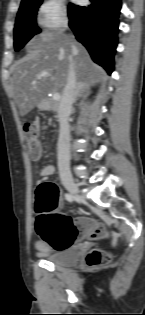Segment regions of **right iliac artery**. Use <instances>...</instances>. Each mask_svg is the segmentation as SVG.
<instances>
[{"mask_svg":"<svg viewBox=\"0 0 145 315\" xmlns=\"http://www.w3.org/2000/svg\"><path fill=\"white\" fill-rule=\"evenodd\" d=\"M65 199L69 202H72L74 200L73 196L68 193L65 194Z\"/></svg>","mask_w":145,"mask_h":315,"instance_id":"1","label":"right iliac artery"}]
</instances>
